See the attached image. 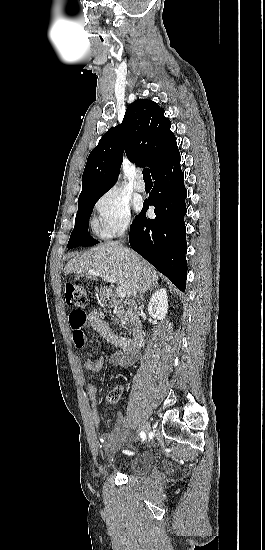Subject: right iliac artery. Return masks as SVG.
I'll list each match as a JSON object with an SVG mask.
<instances>
[{"mask_svg":"<svg viewBox=\"0 0 265 550\" xmlns=\"http://www.w3.org/2000/svg\"><path fill=\"white\" fill-rule=\"evenodd\" d=\"M140 436H141V438H142V441H145V439H146V434L144 433V431H141Z\"/></svg>","mask_w":265,"mask_h":550,"instance_id":"82829eb1","label":"right iliac artery"}]
</instances>
